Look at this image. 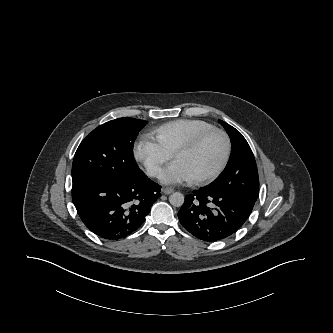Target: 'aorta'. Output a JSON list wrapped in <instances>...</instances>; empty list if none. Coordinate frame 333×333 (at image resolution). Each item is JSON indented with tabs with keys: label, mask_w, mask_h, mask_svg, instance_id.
Returning a JSON list of instances; mask_svg holds the SVG:
<instances>
[{
	"label": "aorta",
	"mask_w": 333,
	"mask_h": 333,
	"mask_svg": "<svg viewBox=\"0 0 333 333\" xmlns=\"http://www.w3.org/2000/svg\"><path fill=\"white\" fill-rule=\"evenodd\" d=\"M169 202L172 206L180 207L184 203V195L180 192L172 193L169 197Z\"/></svg>",
	"instance_id": "1"
}]
</instances>
